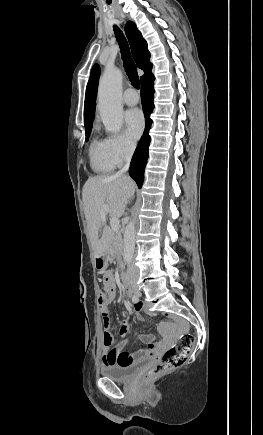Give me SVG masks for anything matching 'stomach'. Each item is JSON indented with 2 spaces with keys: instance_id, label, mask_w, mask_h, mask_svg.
<instances>
[{
  "instance_id": "stomach-1",
  "label": "stomach",
  "mask_w": 263,
  "mask_h": 435,
  "mask_svg": "<svg viewBox=\"0 0 263 435\" xmlns=\"http://www.w3.org/2000/svg\"><path fill=\"white\" fill-rule=\"evenodd\" d=\"M110 256L108 254L96 257V267L101 270L107 266Z\"/></svg>"
}]
</instances>
